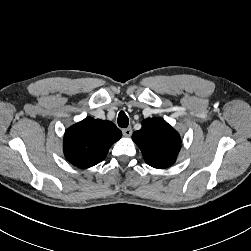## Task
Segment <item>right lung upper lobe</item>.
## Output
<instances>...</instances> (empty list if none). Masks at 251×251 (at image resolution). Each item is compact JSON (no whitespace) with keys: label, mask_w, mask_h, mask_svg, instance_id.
<instances>
[{"label":"right lung upper lobe","mask_w":251,"mask_h":251,"mask_svg":"<svg viewBox=\"0 0 251 251\" xmlns=\"http://www.w3.org/2000/svg\"><path fill=\"white\" fill-rule=\"evenodd\" d=\"M122 132L110 121L90 117L68 128L64 135L66 159L79 168H89L103 161Z\"/></svg>","instance_id":"obj_1"}]
</instances>
